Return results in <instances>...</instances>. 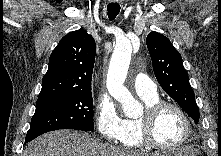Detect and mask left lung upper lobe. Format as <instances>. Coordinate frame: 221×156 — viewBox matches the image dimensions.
Returning <instances> with one entry per match:
<instances>
[{"label": "left lung upper lobe", "mask_w": 221, "mask_h": 156, "mask_svg": "<svg viewBox=\"0 0 221 156\" xmlns=\"http://www.w3.org/2000/svg\"><path fill=\"white\" fill-rule=\"evenodd\" d=\"M146 44L159 84L197 124L199 109L180 53L158 32L149 33Z\"/></svg>", "instance_id": "left-lung-upper-lobe-1"}]
</instances>
